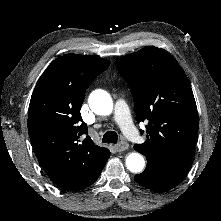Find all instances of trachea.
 Instances as JSON below:
<instances>
[{
  "label": "trachea",
  "mask_w": 221,
  "mask_h": 221,
  "mask_svg": "<svg viewBox=\"0 0 221 221\" xmlns=\"http://www.w3.org/2000/svg\"><path fill=\"white\" fill-rule=\"evenodd\" d=\"M118 141L117 133L114 131H107L102 138L103 143H113L116 144Z\"/></svg>",
  "instance_id": "3493384b"
}]
</instances>
